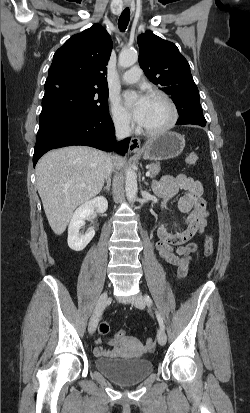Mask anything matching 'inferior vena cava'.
<instances>
[{
	"label": "inferior vena cava",
	"instance_id": "obj_1",
	"mask_svg": "<svg viewBox=\"0 0 250 413\" xmlns=\"http://www.w3.org/2000/svg\"><path fill=\"white\" fill-rule=\"evenodd\" d=\"M115 125V135L117 140H122L130 136L131 128L130 121L127 118H118L114 122ZM117 156L108 155L107 166H106V178H110V174L114 168V159Z\"/></svg>",
	"mask_w": 250,
	"mask_h": 413
}]
</instances>
